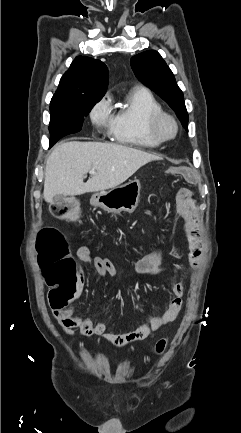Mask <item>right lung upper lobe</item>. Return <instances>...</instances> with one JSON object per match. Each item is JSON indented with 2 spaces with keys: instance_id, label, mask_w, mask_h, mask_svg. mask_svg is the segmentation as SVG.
<instances>
[{
  "instance_id": "1",
  "label": "right lung upper lobe",
  "mask_w": 241,
  "mask_h": 433,
  "mask_svg": "<svg viewBox=\"0 0 241 433\" xmlns=\"http://www.w3.org/2000/svg\"><path fill=\"white\" fill-rule=\"evenodd\" d=\"M108 85V69L100 60L78 56L62 76L51 99L57 101L100 100Z\"/></svg>"
}]
</instances>
